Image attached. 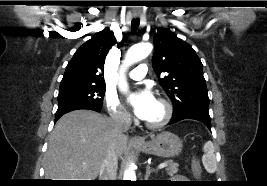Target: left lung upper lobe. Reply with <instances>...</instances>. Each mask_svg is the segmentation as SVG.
I'll list each match as a JSON object with an SVG mask.
<instances>
[{
    "mask_svg": "<svg viewBox=\"0 0 267 186\" xmlns=\"http://www.w3.org/2000/svg\"><path fill=\"white\" fill-rule=\"evenodd\" d=\"M154 48L152 66L173 102V114L189 110L208 112L209 98L202 63L193 48L168 29L154 36Z\"/></svg>",
    "mask_w": 267,
    "mask_h": 186,
    "instance_id": "5c2ea615",
    "label": "left lung upper lobe"
}]
</instances>
